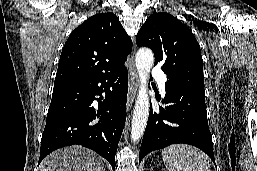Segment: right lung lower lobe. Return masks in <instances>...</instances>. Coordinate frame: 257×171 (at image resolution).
Here are the masks:
<instances>
[{
  "label": "right lung lower lobe",
  "instance_id": "1",
  "mask_svg": "<svg viewBox=\"0 0 257 171\" xmlns=\"http://www.w3.org/2000/svg\"><path fill=\"white\" fill-rule=\"evenodd\" d=\"M127 91L124 65L86 80L54 85L38 164L54 150L78 144L107 159L114 170L126 120Z\"/></svg>",
  "mask_w": 257,
  "mask_h": 171
}]
</instances>
